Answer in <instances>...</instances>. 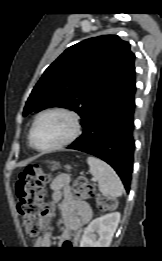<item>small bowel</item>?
Returning <instances> with one entry per match:
<instances>
[{"mask_svg": "<svg viewBox=\"0 0 162 261\" xmlns=\"http://www.w3.org/2000/svg\"><path fill=\"white\" fill-rule=\"evenodd\" d=\"M51 200L61 206V216L64 230L60 235V247L67 246L70 242L71 232H79L92 218V210L87 202L75 200L71 195L70 177L67 174L57 176L51 183ZM40 248L52 246V230L36 241Z\"/></svg>", "mask_w": 162, "mask_h": 261, "instance_id": "1", "label": "small bowel"}]
</instances>
